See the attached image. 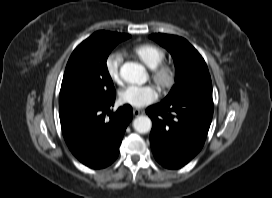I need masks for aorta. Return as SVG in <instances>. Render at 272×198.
Here are the masks:
<instances>
[{
  "instance_id": "obj_1",
  "label": "aorta",
  "mask_w": 272,
  "mask_h": 198,
  "mask_svg": "<svg viewBox=\"0 0 272 198\" xmlns=\"http://www.w3.org/2000/svg\"><path fill=\"white\" fill-rule=\"evenodd\" d=\"M121 78L132 84H144L147 81V73L145 68L134 62H126L120 68ZM152 122L148 116H138L133 121V128L141 134H145L151 130Z\"/></svg>"
}]
</instances>
